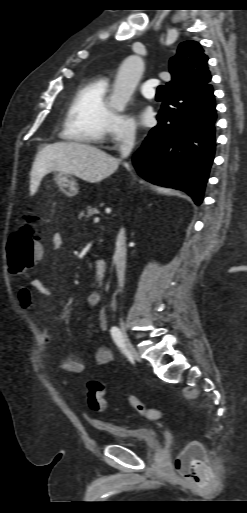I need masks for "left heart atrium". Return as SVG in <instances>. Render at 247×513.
Instances as JSON below:
<instances>
[{"label":"left heart atrium","instance_id":"39dd6f15","mask_svg":"<svg viewBox=\"0 0 247 513\" xmlns=\"http://www.w3.org/2000/svg\"><path fill=\"white\" fill-rule=\"evenodd\" d=\"M138 120L141 124L149 126L154 121V113L150 108H144L139 111Z\"/></svg>","mask_w":247,"mask_h":513}]
</instances>
